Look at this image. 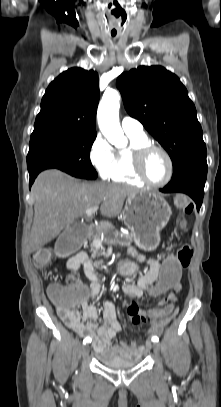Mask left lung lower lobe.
Returning <instances> with one entry per match:
<instances>
[{
	"label": "left lung lower lobe",
	"mask_w": 221,
	"mask_h": 407,
	"mask_svg": "<svg viewBox=\"0 0 221 407\" xmlns=\"http://www.w3.org/2000/svg\"><path fill=\"white\" fill-rule=\"evenodd\" d=\"M207 169L206 157L192 160L173 174L170 183L160 191L163 193L181 192L189 195L195 201L199 211L203 201Z\"/></svg>",
	"instance_id": "obj_1"
}]
</instances>
